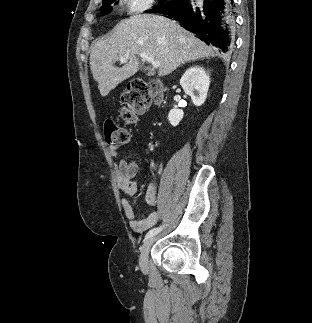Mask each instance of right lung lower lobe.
Returning <instances> with one entry per match:
<instances>
[{
    "mask_svg": "<svg viewBox=\"0 0 312 323\" xmlns=\"http://www.w3.org/2000/svg\"><path fill=\"white\" fill-rule=\"evenodd\" d=\"M233 0H180L174 7L157 13L178 21L186 30L196 34L208 45L227 53L233 49L235 30Z\"/></svg>",
    "mask_w": 312,
    "mask_h": 323,
    "instance_id": "1",
    "label": "right lung lower lobe"
}]
</instances>
